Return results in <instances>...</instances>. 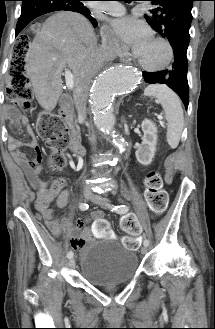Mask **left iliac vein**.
Returning <instances> with one entry per match:
<instances>
[{
	"instance_id": "4c4485c4",
	"label": "left iliac vein",
	"mask_w": 215,
	"mask_h": 329,
	"mask_svg": "<svg viewBox=\"0 0 215 329\" xmlns=\"http://www.w3.org/2000/svg\"><path fill=\"white\" fill-rule=\"evenodd\" d=\"M90 200H91L93 203H95V204H97V205H99V206H101V207H103V208H107V204H106L105 200H104L101 196H98V195L93 194V195L91 196ZM147 251H148L147 246L144 245V246L141 248V253H142V254H146Z\"/></svg>"
}]
</instances>
